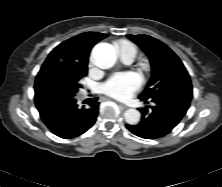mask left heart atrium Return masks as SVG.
<instances>
[{
	"label": "left heart atrium",
	"instance_id": "39dd6f15",
	"mask_svg": "<svg viewBox=\"0 0 222 187\" xmlns=\"http://www.w3.org/2000/svg\"><path fill=\"white\" fill-rule=\"evenodd\" d=\"M141 85V78L136 73H118L107 80L102 86V90L111 97L127 100L133 96Z\"/></svg>",
	"mask_w": 222,
	"mask_h": 187
}]
</instances>
